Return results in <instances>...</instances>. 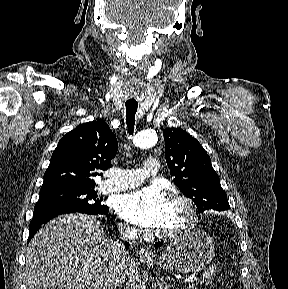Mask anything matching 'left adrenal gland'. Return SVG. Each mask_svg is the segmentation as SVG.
Wrapping results in <instances>:
<instances>
[{
	"label": "left adrenal gland",
	"mask_w": 288,
	"mask_h": 289,
	"mask_svg": "<svg viewBox=\"0 0 288 289\" xmlns=\"http://www.w3.org/2000/svg\"><path fill=\"white\" fill-rule=\"evenodd\" d=\"M155 286H157L158 289H168L171 285H164L161 283L160 280H157V283L155 284Z\"/></svg>",
	"instance_id": "1"
}]
</instances>
